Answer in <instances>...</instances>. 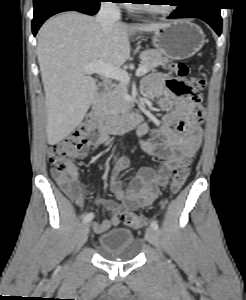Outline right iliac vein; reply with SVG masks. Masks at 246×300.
<instances>
[{"mask_svg": "<svg viewBox=\"0 0 246 300\" xmlns=\"http://www.w3.org/2000/svg\"><path fill=\"white\" fill-rule=\"evenodd\" d=\"M89 223H85L80 232H79V235H78V240H77V246L78 248H80L86 241H87V238H88V233H89Z\"/></svg>", "mask_w": 246, "mask_h": 300, "instance_id": "1", "label": "right iliac vein"}]
</instances>
